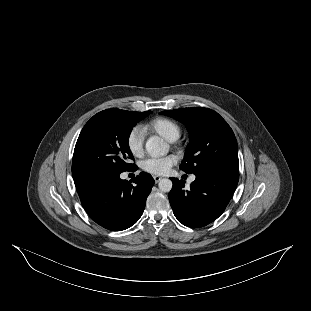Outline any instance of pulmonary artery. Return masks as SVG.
I'll return each mask as SVG.
<instances>
[{
	"instance_id": "1",
	"label": "pulmonary artery",
	"mask_w": 311,
	"mask_h": 311,
	"mask_svg": "<svg viewBox=\"0 0 311 311\" xmlns=\"http://www.w3.org/2000/svg\"><path fill=\"white\" fill-rule=\"evenodd\" d=\"M195 180V176H192L191 178H190V181L192 182V181H194Z\"/></svg>"
}]
</instances>
